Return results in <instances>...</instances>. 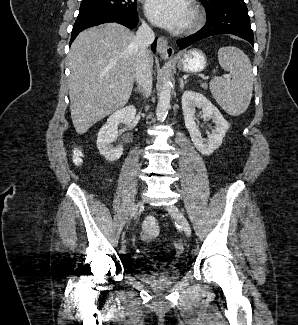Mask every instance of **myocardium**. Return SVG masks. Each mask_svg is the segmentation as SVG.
Returning a JSON list of instances; mask_svg holds the SVG:
<instances>
[{"instance_id": "myocardium-1", "label": "myocardium", "mask_w": 298, "mask_h": 325, "mask_svg": "<svg viewBox=\"0 0 298 325\" xmlns=\"http://www.w3.org/2000/svg\"><path fill=\"white\" fill-rule=\"evenodd\" d=\"M190 22L183 29V32H191L200 24V16L193 4H189ZM148 68H145L147 70Z\"/></svg>"}]
</instances>
